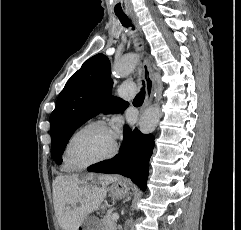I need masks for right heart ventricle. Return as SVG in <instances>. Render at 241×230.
<instances>
[{"label": "right heart ventricle", "instance_id": "right-heart-ventricle-1", "mask_svg": "<svg viewBox=\"0 0 241 230\" xmlns=\"http://www.w3.org/2000/svg\"><path fill=\"white\" fill-rule=\"evenodd\" d=\"M63 168H64L65 171L71 170V169L69 168V166L66 164V162L64 161V159H63Z\"/></svg>", "mask_w": 241, "mask_h": 230}]
</instances>
